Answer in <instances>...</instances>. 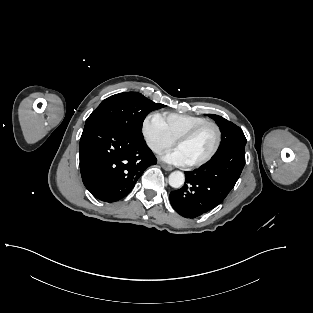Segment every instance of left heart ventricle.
<instances>
[{"mask_svg": "<svg viewBox=\"0 0 313 313\" xmlns=\"http://www.w3.org/2000/svg\"><path fill=\"white\" fill-rule=\"evenodd\" d=\"M216 141V133L213 127L208 126L201 130L192 139L177 145L190 163L199 161L206 157L213 149Z\"/></svg>", "mask_w": 313, "mask_h": 313, "instance_id": "left-heart-ventricle-1", "label": "left heart ventricle"}]
</instances>
